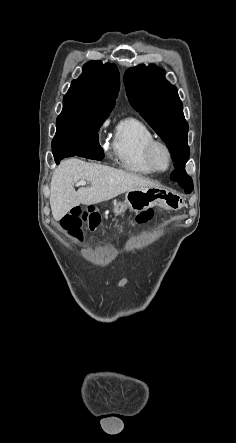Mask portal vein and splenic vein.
<instances>
[{
	"label": "portal vein and splenic vein",
	"mask_w": 236,
	"mask_h": 443,
	"mask_svg": "<svg viewBox=\"0 0 236 443\" xmlns=\"http://www.w3.org/2000/svg\"><path fill=\"white\" fill-rule=\"evenodd\" d=\"M86 184V181H79L76 183V186H85Z\"/></svg>",
	"instance_id": "obj_1"
}]
</instances>
